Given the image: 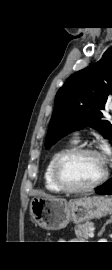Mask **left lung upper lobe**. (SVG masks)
<instances>
[{
    "label": "left lung upper lobe",
    "instance_id": "obj_1",
    "mask_svg": "<svg viewBox=\"0 0 112 270\" xmlns=\"http://www.w3.org/2000/svg\"><path fill=\"white\" fill-rule=\"evenodd\" d=\"M112 96V48L100 61L70 76L59 89L45 147L49 149L68 133L91 126L111 139L112 125L102 110Z\"/></svg>",
    "mask_w": 112,
    "mask_h": 270
}]
</instances>
